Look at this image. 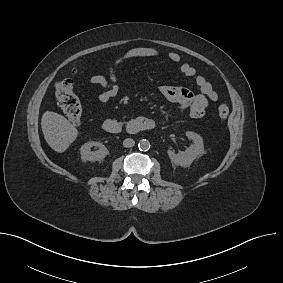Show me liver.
<instances>
[{
    "label": "liver",
    "instance_id": "6515ba94",
    "mask_svg": "<svg viewBox=\"0 0 283 283\" xmlns=\"http://www.w3.org/2000/svg\"><path fill=\"white\" fill-rule=\"evenodd\" d=\"M42 132L48 145L56 152L62 153L76 140L78 130L61 114L46 111L41 119Z\"/></svg>",
    "mask_w": 283,
    "mask_h": 283
}]
</instances>
